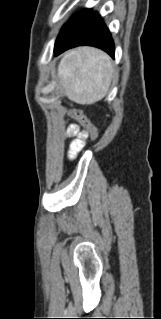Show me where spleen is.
<instances>
[{
  "label": "spleen",
  "mask_w": 161,
  "mask_h": 319,
  "mask_svg": "<svg viewBox=\"0 0 161 319\" xmlns=\"http://www.w3.org/2000/svg\"><path fill=\"white\" fill-rule=\"evenodd\" d=\"M112 71L107 54L83 47L65 54L58 67V77L66 96L71 101L86 105L106 96Z\"/></svg>",
  "instance_id": "obj_1"
}]
</instances>
